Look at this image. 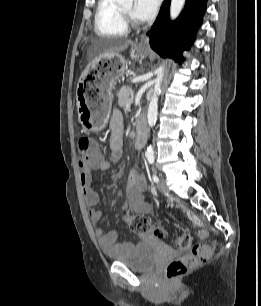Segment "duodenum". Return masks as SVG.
Listing matches in <instances>:
<instances>
[{"label":"duodenum","instance_id":"410a0bca","mask_svg":"<svg viewBox=\"0 0 261 306\" xmlns=\"http://www.w3.org/2000/svg\"><path fill=\"white\" fill-rule=\"evenodd\" d=\"M134 126L137 136L135 138V146L141 148L146 138V119L144 116H137L134 120Z\"/></svg>","mask_w":261,"mask_h":306}]
</instances>
